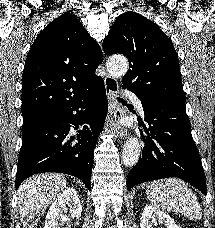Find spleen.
<instances>
[{
  "mask_svg": "<svg viewBox=\"0 0 215 228\" xmlns=\"http://www.w3.org/2000/svg\"><path fill=\"white\" fill-rule=\"evenodd\" d=\"M147 198L158 210L179 212L188 220H202L201 206L188 184L177 178H165L151 182L146 190Z\"/></svg>",
  "mask_w": 215,
  "mask_h": 228,
  "instance_id": "1",
  "label": "spleen"
}]
</instances>
